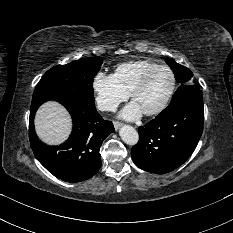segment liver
<instances>
[{
    "label": "liver",
    "instance_id": "obj_1",
    "mask_svg": "<svg viewBox=\"0 0 233 233\" xmlns=\"http://www.w3.org/2000/svg\"><path fill=\"white\" fill-rule=\"evenodd\" d=\"M71 128V117L61 104L49 101L38 109L35 129L43 142L58 145L68 138Z\"/></svg>",
    "mask_w": 233,
    "mask_h": 233
}]
</instances>
